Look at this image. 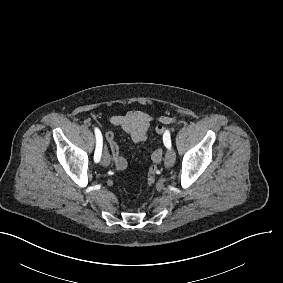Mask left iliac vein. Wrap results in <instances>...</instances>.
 <instances>
[{
    "instance_id": "1",
    "label": "left iliac vein",
    "mask_w": 283,
    "mask_h": 283,
    "mask_svg": "<svg viewBox=\"0 0 283 283\" xmlns=\"http://www.w3.org/2000/svg\"><path fill=\"white\" fill-rule=\"evenodd\" d=\"M176 161V154L173 149L167 150L165 154V166L171 167Z\"/></svg>"
}]
</instances>
